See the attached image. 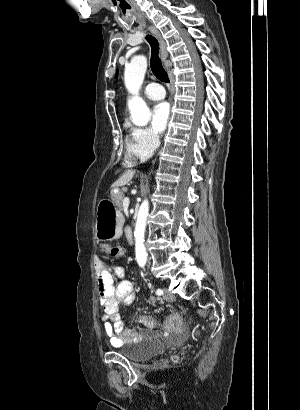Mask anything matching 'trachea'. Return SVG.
Wrapping results in <instances>:
<instances>
[{
    "mask_svg": "<svg viewBox=\"0 0 300 410\" xmlns=\"http://www.w3.org/2000/svg\"><path fill=\"white\" fill-rule=\"evenodd\" d=\"M146 40L151 46V59L150 67L157 79L162 82H169V77L167 72L162 66L161 59L159 58V43L157 39L151 35L146 36Z\"/></svg>",
    "mask_w": 300,
    "mask_h": 410,
    "instance_id": "3493384b",
    "label": "trachea"
}]
</instances>
